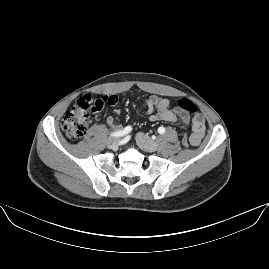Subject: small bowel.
I'll use <instances>...</instances> for the list:
<instances>
[{
  "instance_id": "1",
  "label": "small bowel",
  "mask_w": 269,
  "mask_h": 269,
  "mask_svg": "<svg viewBox=\"0 0 269 269\" xmlns=\"http://www.w3.org/2000/svg\"><path fill=\"white\" fill-rule=\"evenodd\" d=\"M147 107V115L151 122L165 121V122H180L182 124L191 123L192 134L191 144L197 146L200 144L205 131L204 118L200 114H195L190 118L189 113L181 111L176 108L174 111L170 109V101L166 98L151 96L145 100ZM119 110L115 114H119ZM105 124L111 128H116L115 116L109 115L105 118Z\"/></svg>"
}]
</instances>
